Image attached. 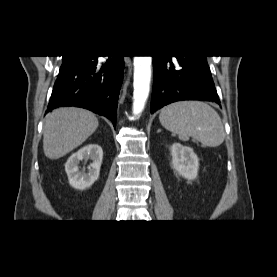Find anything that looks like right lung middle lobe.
I'll return each instance as SVG.
<instances>
[{
  "label": "right lung middle lobe",
  "instance_id": "right-lung-middle-lobe-1",
  "mask_svg": "<svg viewBox=\"0 0 277 277\" xmlns=\"http://www.w3.org/2000/svg\"><path fill=\"white\" fill-rule=\"evenodd\" d=\"M76 57L75 56H64L63 57V62H62V66L60 68L63 69L64 67H66L69 63H71Z\"/></svg>",
  "mask_w": 277,
  "mask_h": 277
}]
</instances>
